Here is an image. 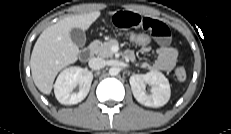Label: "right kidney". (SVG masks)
Segmentation results:
<instances>
[{"instance_id":"right-kidney-1","label":"right kidney","mask_w":231,"mask_h":134,"mask_svg":"<svg viewBox=\"0 0 231 134\" xmlns=\"http://www.w3.org/2000/svg\"><path fill=\"white\" fill-rule=\"evenodd\" d=\"M92 80L93 74L80 67L74 66L64 69L54 85L56 99L64 105L81 102L89 93ZM77 85H79V91L72 93Z\"/></svg>"}]
</instances>
